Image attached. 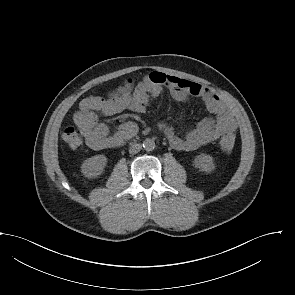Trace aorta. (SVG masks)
<instances>
[{"label":"aorta","instance_id":"1","mask_svg":"<svg viewBox=\"0 0 295 295\" xmlns=\"http://www.w3.org/2000/svg\"><path fill=\"white\" fill-rule=\"evenodd\" d=\"M143 148L146 150V151H152L154 150L155 148V142L151 139H146L144 142H143Z\"/></svg>","mask_w":295,"mask_h":295}]
</instances>
